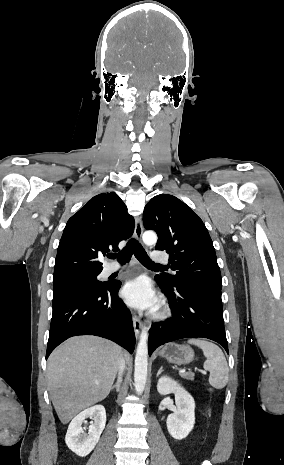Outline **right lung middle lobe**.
I'll return each instance as SVG.
<instances>
[{"instance_id": "right-lung-middle-lobe-1", "label": "right lung middle lobe", "mask_w": 284, "mask_h": 465, "mask_svg": "<svg viewBox=\"0 0 284 465\" xmlns=\"http://www.w3.org/2000/svg\"><path fill=\"white\" fill-rule=\"evenodd\" d=\"M98 275L99 273L85 274L69 278H63L59 280H53V297H56L65 291L73 289L107 287L108 283L99 281L97 278Z\"/></svg>"}]
</instances>
